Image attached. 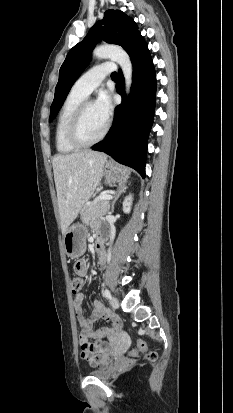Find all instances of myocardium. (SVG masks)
I'll use <instances>...</instances> for the list:
<instances>
[{
	"label": "myocardium",
	"mask_w": 233,
	"mask_h": 413,
	"mask_svg": "<svg viewBox=\"0 0 233 413\" xmlns=\"http://www.w3.org/2000/svg\"><path fill=\"white\" fill-rule=\"evenodd\" d=\"M93 103L91 100H83L79 106L74 111L68 127H67V138L71 144L78 148L90 147L93 146L100 141H102L108 133L109 130V123H106L102 133L93 140H84L80 133V127L82 123L83 116L87 107Z\"/></svg>",
	"instance_id": "1"
}]
</instances>
